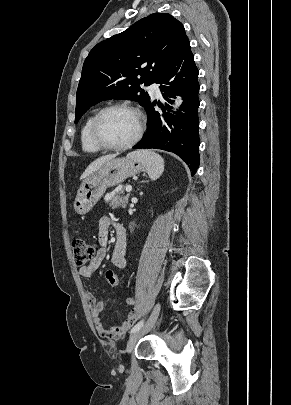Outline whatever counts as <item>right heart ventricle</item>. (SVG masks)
Returning a JSON list of instances; mask_svg holds the SVG:
<instances>
[{
	"mask_svg": "<svg viewBox=\"0 0 291 405\" xmlns=\"http://www.w3.org/2000/svg\"><path fill=\"white\" fill-rule=\"evenodd\" d=\"M94 115L95 114H91L86 118L80 131L81 148L85 153H97L101 150L92 142L90 137V126Z\"/></svg>",
	"mask_w": 291,
	"mask_h": 405,
	"instance_id": "obj_1",
	"label": "right heart ventricle"
}]
</instances>
